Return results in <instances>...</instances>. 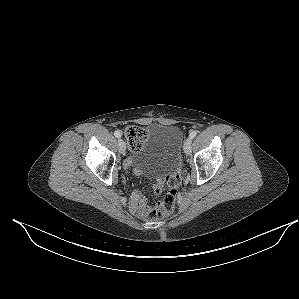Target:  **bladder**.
<instances>
[{"label":"bladder","mask_w":299,"mask_h":299,"mask_svg":"<svg viewBox=\"0 0 299 299\" xmlns=\"http://www.w3.org/2000/svg\"><path fill=\"white\" fill-rule=\"evenodd\" d=\"M182 132L174 125L153 124L133 163L143 173L158 176L176 169L181 161Z\"/></svg>","instance_id":"31cf9c89"}]
</instances>
